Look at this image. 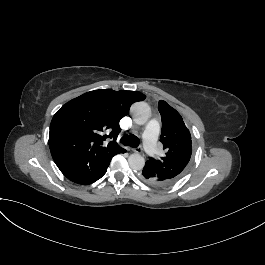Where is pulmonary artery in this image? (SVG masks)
Here are the masks:
<instances>
[{"label":"pulmonary artery","instance_id":"e3ab8cb5","mask_svg":"<svg viewBox=\"0 0 265 265\" xmlns=\"http://www.w3.org/2000/svg\"><path fill=\"white\" fill-rule=\"evenodd\" d=\"M146 127L145 139L148 142L147 151L154 154L157 151L156 136L158 134V124L153 120H148Z\"/></svg>","mask_w":265,"mask_h":265}]
</instances>
